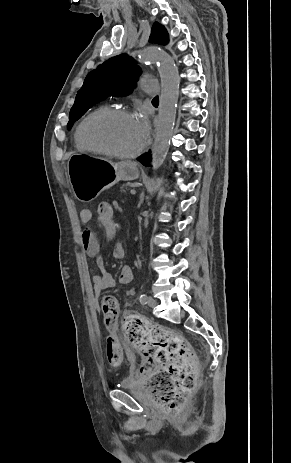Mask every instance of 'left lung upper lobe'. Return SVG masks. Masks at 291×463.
<instances>
[{"instance_id": "5c2ea615", "label": "left lung upper lobe", "mask_w": 291, "mask_h": 463, "mask_svg": "<svg viewBox=\"0 0 291 463\" xmlns=\"http://www.w3.org/2000/svg\"><path fill=\"white\" fill-rule=\"evenodd\" d=\"M149 42L168 44L169 36L164 26L154 23ZM140 74L141 70L136 61L127 54L112 57L89 72L70 110L67 128L70 129L89 108L108 96L131 93L132 86Z\"/></svg>"}]
</instances>
